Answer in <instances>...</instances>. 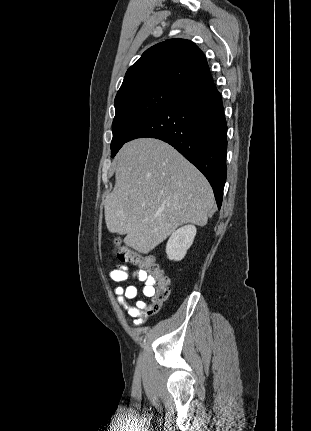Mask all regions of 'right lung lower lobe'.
I'll use <instances>...</instances> for the list:
<instances>
[{"instance_id":"obj_1","label":"right lung lower lobe","mask_w":311,"mask_h":431,"mask_svg":"<svg viewBox=\"0 0 311 431\" xmlns=\"http://www.w3.org/2000/svg\"><path fill=\"white\" fill-rule=\"evenodd\" d=\"M151 137L172 145L211 184L220 209L226 181L227 125L212 82L188 91L138 126L128 141Z\"/></svg>"}]
</instances>
